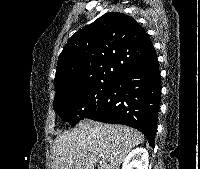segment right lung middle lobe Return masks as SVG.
<instances>
[{
    "instance_id": "right-lung-middle-lobe-1",
    "label": "right lung middle lobe",
    "mask_w": 200,
    "mask_h": 169,
    "mask_svg": "<svg viewBox=\"0 0 200 169\" xmlns=\"http://www.w3.org/2000/svg\"><path fill=\"white\" fill-rule=\"evenodd\" d=\"M115 81L114 78L95 81L76 93L54 100V109L62 120L75 126L102 106Z\"/></svg>"
}]
</instances>
